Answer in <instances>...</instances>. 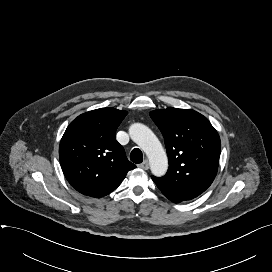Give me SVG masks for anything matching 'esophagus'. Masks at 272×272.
Returning <instances> with one entry per match:
<instances>
[{
  "label": "esophagus",
  "instance_id": "esophagus-1",
  "mask_svg": "<svg viewBox=\"0 0 272 272\" xmlns=\"http://www.w3.org/2000/svg\"><path fill=\"white\" fill-rule=\"evenodd\" d=\"M139 168L147 170L149 168L148 160H144L141 164L138 165Z\"/></svg>",
  "mask_w": 272,
  "mask_h": 272
}]
</instances>
